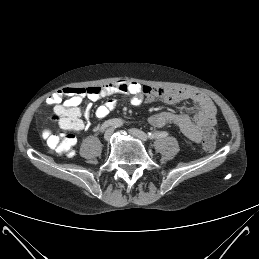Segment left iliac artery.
Wrapping results in <instances>:
<instances>
[{"mask_svg":"<svg viewBox=\"0 0 259 259\" xmlns=\"http://www.w3.org/2000/svg\"><path fill=\"white\" fill-rule=\"evenodd\" d=\"M151 133H153L155 135L156 139H158V138H165V137H167L169 135V133L166 132V131L151 132Z\"/></svg>","mask_w":259,"mask_h":259,"instance_id":"1","label":"left iliac artery"}]
</instances>
